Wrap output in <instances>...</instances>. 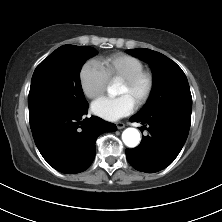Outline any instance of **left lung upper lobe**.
Returning a JSON list of instances; mask_svg holds the SVG:
<instances>
[{
  "label": "left lung upper lobe",
  "instance_id": "5c2ea615",
  "mask_svg": "<svg viewBox=\"0 0 222 222\" xmlns=\"http://www.w3.org/2000/svg\"><path fill=\"white\" fill-rule=\"evenodd\" d=\"M128 53L146 61L153 71L154 84L147 104L138 113H149L166 106L192 110V97L182 69L165 55L150 49H130Z\"/></svg>",
  "mask_w": 222,
  "mask_h": 222
}]
</instances>
